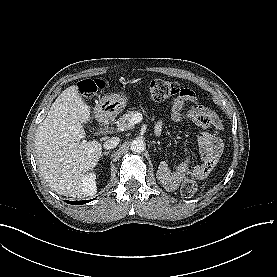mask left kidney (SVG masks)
Returning <instances> with one entry per match:
<instances>
[{"instance_id": "5707ae66", "label": "left kidney", "mask_w": 277, "mask_h": 277, "mask_svg": "<svg viewBox=\"0 0 277 277\" xmlns=\"http://www.w3.org/2000/svg\"><path fill=\"white\" fill-rule=\"evenodd\" d=\"M157 178L168 187L177 185L182 179L181 173H170L168 169V164L165 161L160 162L157 170Z\"/></svg>"}]
</instances>
